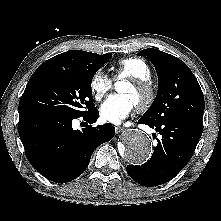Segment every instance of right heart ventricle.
Here are the masks:
<instances>
[{"instance_id": "right-heart-ventricle-1", "label": "right heart ventricle", "mask_w": 221, "mask_h": 221, "mask_svg": "<svg viewBox=\"0 0 221 221\" xmlns=\"http://www.w3.org/2000/svg\"><path fill=\"white\" fill-rule=\"evenodd\" d=\"M115 78L150 80L151 69L148 63L138 57L122 58L113 67Z\"/></svg>"}]
</instances>
